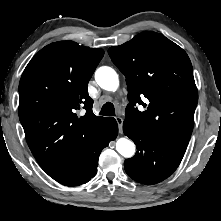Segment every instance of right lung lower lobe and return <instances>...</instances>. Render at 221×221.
Masks as SVG:
<instances>
[{
  "label": "right lung lower lobe",
  "instance_id": "right-lung-lower-lobe-1",
  "mask_svg": "<svg viewBox=\"0 0 221 221\" xmlns=\"http://www.w3.org/2000/svg\"><path fill=\"white\" fill-rule=\"evenodd\" d=\"M118 134L114 118H107L102 128L75 154L46 172L55 181L66 186L88 182L97 173L98 158L103 148Z\"/></svg>",
  "mask_w": 221,
  "mask_h": 221
}]
</instances>
